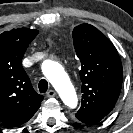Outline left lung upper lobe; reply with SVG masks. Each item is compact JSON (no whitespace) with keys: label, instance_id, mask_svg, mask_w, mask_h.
<instances>
[{"label":"left lung upper lobe","instance_id":"5c2ea615","mask_svg":"<svg viewBox=\"0 0 133 133\" xmlns=\"http://www.w3.org/2000/svg\"><path fill=\"white\" fill-rule=\"evenodd\" d=\"M73 44L81 62L83 93L77 115L101 121L112 111L121 91V60L112 42L92 25L76 26Z\"/></svg>","mask_w":133,"mask_h":133}]
</instances>
